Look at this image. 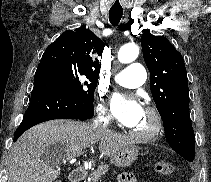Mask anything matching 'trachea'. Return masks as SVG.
I'll list each match as a JSON object with an SVG mask.
<instances>
[{
  "label": "trachea",
  "mask_w": 211,
  "mask_h": 182,
  "mask_svg": "<svg viewBox=\"0 0 211 182\" xmlns=\"http://www.w3.org/2000/svg\"><path fill=\"white\" fill-rule=\"evenodd\" d=\"M122 15H123V11L121 10H110L109 18H110L111 24L116 26L120 22Z\"/></svg>",
  "instance_id": "obj_1"
}]
</instances>
